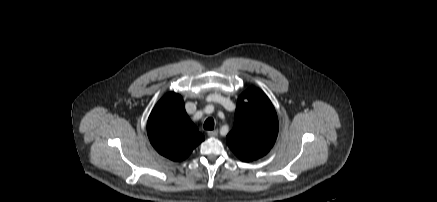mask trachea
<instances>
[{"label": "trachea", "mask_w": 437, "mask_h": 202, "mask_svg": "<svg viewBox=\"0 0 437 202\" xmlns=\"http://www.w3.org/2000/svg\"><path fill=\"white\" fill-rule=\"evenodd\" d=\"M203 127L206 130H213L214 129V120L212 118H207L204 122Z\"/></svg>", "instance_id": "1"}]
</instances>
